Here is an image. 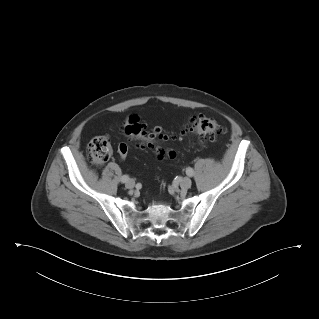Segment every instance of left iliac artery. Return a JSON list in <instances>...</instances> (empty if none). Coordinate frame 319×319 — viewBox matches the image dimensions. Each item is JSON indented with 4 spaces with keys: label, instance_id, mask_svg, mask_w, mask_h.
I'll return each mask as SVG.
<instances>
[{
    "label": "left iliac artery",
    "instance_id": "left-iliac-artery-1",
    "mask_svg": "<svg viewBox=\"0 0 319 319\" xmlns=\"http://www.w3.org/2000/svg\"><path fill=\"white\" fill-rule=\"evenodd\" d=\"M186 174L189 176V177H192L193 176V174H194V171H193V169L192 168H187L186 169Z\"/></svg>",
    "mask_w": 319,
    "mask_h": 319
}]
</instances>
